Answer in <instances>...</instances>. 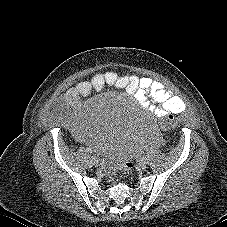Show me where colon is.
<instances>
[{"label": "colon", "mask_w": 227, "mask_h": 227, "mask_svg": "<svg viewBox=\"0 0 227 227\" xmlns=\"http://www.w3.org/2000/svg\"><path fill=\"white\" fill-rule=\"evenodd\" d=\"M161 126L167 131H174L182 126V119L174 112H167L161 118ZM133 163L127 162L124 164V174H128L133 169ZM106 168L112 172L115 170V164L112 161H108Z\"/></svg>", "instance_id": "1"}]
</instances>
